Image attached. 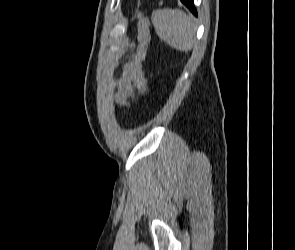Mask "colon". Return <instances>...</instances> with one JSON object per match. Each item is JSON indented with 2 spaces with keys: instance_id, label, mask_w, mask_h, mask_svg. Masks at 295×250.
<instances>
[{
  "instance_id": "colon-1",
  "label": "colon",
  "mask_w": 295,
  "mask_h": 250,
  "mask_svg": "<svg viewBox=\"0 0 295 250\" xmlns=\"http://www.w3.org/2000/svg\"><path fill=\"white\" fill-rule=\"evenodd\" d=\"M149 43V22L140 17L137 23V45L130 60L124 65L123 78L138 89L141 94H147L149 87L143 77L141 65L145 59Z\"/></svg>"
}]
</instances>
